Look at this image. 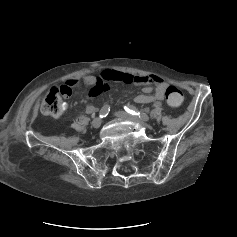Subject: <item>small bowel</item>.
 Returning a JSON list of instances; mask_svg holds the SVG:
<instances>
[{
	"mask_svg": "<svg viewBox=\"0 0 237 237\" xmlns=\"http://www.w3.org/2000/svg\"><path fill=\"white\" fill-rule=\"evenodd\" d=\"M112 81L144 85L143 94L135 98V101L140 104L164 100L165 91L168 86L162 78L156 75H134L118 70H104L99 75H88L69 80L66 82L65 87H68L71 91L72 89L88 86L91 88V97L97 98L100 94L109 90V84ZM87 111L91 113L94 111V108L89 106Z\"/></svg>",
	"mask_w": 237,
	"mask_h": 237,
	"instance_id": "small-bowel-1",
	"label": "small bowel"
}]
</instances>
